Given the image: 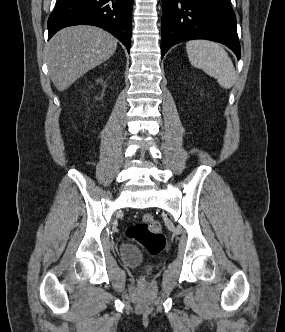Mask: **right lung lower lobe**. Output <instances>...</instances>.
<instances>
[{
    "label": "right lung lower lobe",
    "instance_id": "1",
    "mask_svg": "<svg viewBox=\"0 0 285 332\" xmlns=\"http://www.w3.org/2000/svg\"><path fill=\"white\" fill-rule=\"evenodd\" d=\"M133 0H57L48 19L50 39L64 27L87 24L105 29L130 51Z\"/></svg>",
    "mask_w": 285,
    "mask_h": 332
}]
</instances>
